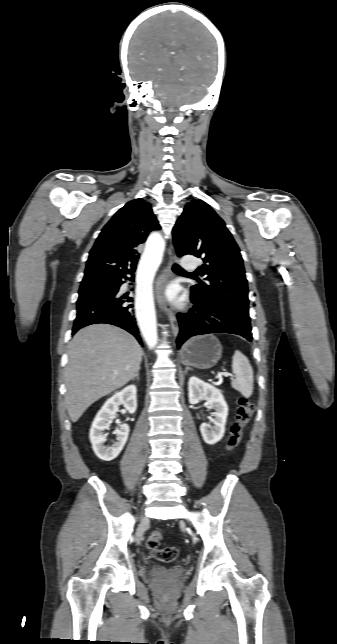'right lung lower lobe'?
Instances as JSON below:
<instances>
[{
    "instance_id": "obj_1",
    "label": "right lung lower lobe",
    "mask_w": 337,
    "mask_h": 644,
    "mask_svg": "<svg viewBox=\"0 0 337 644\" xmlns=\"http://www.w3.org/2000/svg\"><path fill=\"white\" fill-rule=\"evenodd\" d=\"M135 269L136 267L130 268L119 275L115 279L112 292L77 304V316L74 321L72 334L91 324L107 323L127 330L142 344L132 309L133 305H127V302H132L133 300L131 297L119 293V288L124 283L122 279H130L133 281ZM127 274L132 275V277L128 278L126 276Z\"/></svg>"
}]
</instances>
